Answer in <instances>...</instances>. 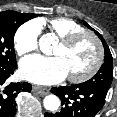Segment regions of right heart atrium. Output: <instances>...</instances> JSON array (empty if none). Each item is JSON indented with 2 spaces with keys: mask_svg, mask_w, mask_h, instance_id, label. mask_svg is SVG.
<instances>
[{
  "mask_svg": "<svg viewBox=\"0 0 117 117\" xmlns=\"http://www.w3.org/2000/svg\"><path fill=\"white\" fill-rule=\"evenodd\" d=\"M41 34V24L36 20L24 23L16 31L14 36V46L19 55H24L35 51L38 48Z\"/></svg>",
  "mask_w": 117,
  "mask_h": 117,
  "instance_id": "obj_1",
  "label": "right heart atrium"
}]
</instances>
